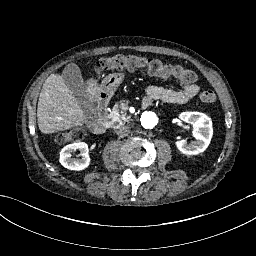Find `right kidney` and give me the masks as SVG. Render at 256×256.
Masks as SVG:
<instances>
[{"label": "right kidney", "instance_id": "obj_1", "mask_svg": "<svg viewBox=\"0 0 256 256\" xmlns=\"http://www.w3.org/2000/svg\"><path fill=\"white\" fill-rule=\"evenodd\" d=\"M80 151L83 156L80 160H74L71 155L74 151ZM60 164L69 169L75 171H82L89 167L91 159L89 157L88 145L85 142L71 143L63 147L60 151Z\"/></svg>", "mask_w": 256, "mask_h": 256}]
</instances>
